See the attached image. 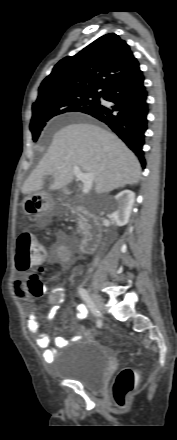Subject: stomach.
<instances>
[{"mask_svg":"<svg viewBox=\"0 0 177 440\" xmlns=\"http://www.w3.org/2000/svg\"><path fill=\"white\" fill-rule=\"evenodd\" d=\"M22 208L26 215L38 220L51 217L59 212L57 203L44 192H35L28 195L22 203Z\"/></svg>","mask_w":177,"mask_h":440,"instance_id":"0dacf381","label":"stomach"}]
</instances>
